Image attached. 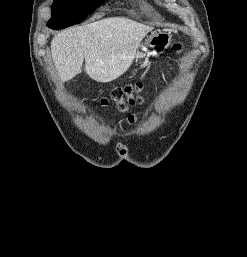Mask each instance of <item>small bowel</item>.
<instances>
[{"instance_id": "small-bowel-1", "label": "small bowel", "mask_w": 247, "mask_h": 257, "mask_svg": "<svg viewBox=\"0 0 247 257\" xmlns=\"http://www.w3.org/2000/svg\"><path fill=\"white\" fill-rule=\"evenodd\" d=\"M130 120H131V121L133 120V117H132V116L130 117Z\"/></svg>"}]
</instances>
